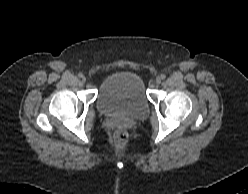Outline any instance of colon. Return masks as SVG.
<instances>
[{
  "mask_svg": "<svg viewBox=\"0 0 248 194\" xmlns=\"http://www.w3.org/2000/svg\"><path fill=\"white\" fill-rule=\"evenodd\" d=\"M128 145V135L123 129H119L114 134V146L116 151L123 152Z\"/></svg>",
  "mask_w": 248,
  "mask_h": 194,
  "instance_id": "5ec220e1",
  "label": "colon"
}]
</instances>
